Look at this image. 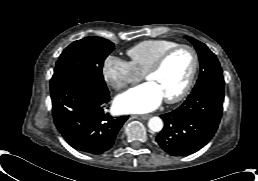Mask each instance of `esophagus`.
Here are the masks:
<instances>
[{
    "label": "esophagus",
    "instance_id": "esophagus-1",
    "mask_svg": "<svg viewBox=\"0 0 258 181\" xmlns=\"http://www.w3.org/2000/svg\"><path fill=\"white\" fill-rule=\"evenodd\" d=\"M152 115L150 114H147V115H141L140 118L144 119V120H147L151 117Z\"/></svg>",
    "mask_w": 258,
    "mask_h": 181
}]
</instances>
